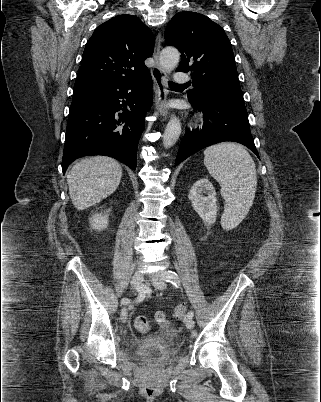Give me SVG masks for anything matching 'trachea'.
<instances>
[{
	"label": "trachea",
	"mask_w": 321,
	"mask_h": 402,
	"mask_svg": "<svg viewBox=\"0 0 321 402\" xmlns=\"http://www.w3.org/2000/svg\"><path fill=\"white\" fill-rule=\"evenodd\" d=\"M168 84H169V87H180V86L188 85V84H176V83L171 82V81H169Z\"/></svg>",
	"instance_id": "1"
}]
</instances>
